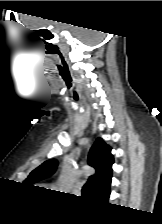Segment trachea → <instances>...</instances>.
Wrapping results in <instances>:
<instances>
[{
    "label": "trachea",
    "mask_w": 162,
    "mask_h": 224,
    "mask_svg": "<svg viewBox=\"0 0 162 224\" xmlns=\"http://www.w3.org/2000/svg\"><path fill=\"white\" fill-rule=\"evenodd\" d=\"M89 190V183H86L82 188V193L87 194Z\"/></svg>",
    "instance_id": "1"
}]
</instances>
